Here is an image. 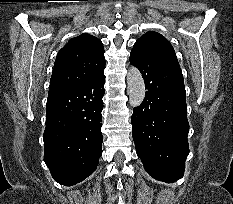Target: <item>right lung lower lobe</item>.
Returning a JSON list of instances; mask_svg holds the SVG:
<instances>
[{"instance_id":"98d812e1","label":"right lung lower lobe","mask_w":233,"mask_h":204,"mask_svg":"<svg viewBox=\"0 0 233 204\" xmlns=\"http://www.w3.org/2000/svg\"><path fill=\"white\" fill-rule=\"evenodd\" d=\"M103 71L82 86L48 96L44 161L60 184L79 183L97 168L103 141Z\"/></svg>"}]
</instances>
